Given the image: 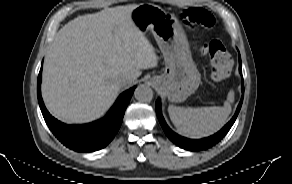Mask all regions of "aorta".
I'll return each mask as SVG.
<instances>
[{"mask_svg":"<svg viewBox=\"0 0 292 184\" xmlns=\"http://www.w3.org/2000/svg\"><path fill=\"white\" fill-rule=\"evenodd\" d=\"M134 97L139 102H150L153 99V90L146 85H139L134 91Z\"/></svg>","mask_w":292,"mask_h":184,"instance_id":"aorta-1","label":"aorta"}]
</instances>
